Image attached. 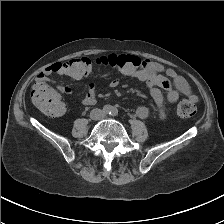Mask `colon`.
<instances>
[{
    "instance_id": "5ec220e1",
    "label": "colon",
    "mask_w": 224,
    "mask_h": 224,
    "mask_svg": "<svg viewBox=\"0 0 224 224\" xmlns=\"http://www.w3.org/2000/svg\"><path fill=\"white\" fill-rule=\"evenodd\" d=\"M140 58L134 55L109 54L94 60L78 57L63 62L64 76L81 79L90 75L96 67H107L121 74L130 75L142 66ZM31 99L33 104L44 114L57 117L63 114L65 106L54 89L46 84H35ZM177 112L182 118H190L196 113V106L190 99H182L177 105Z\"/></svg>"
}]
</instances>
